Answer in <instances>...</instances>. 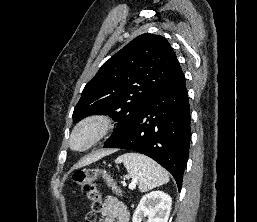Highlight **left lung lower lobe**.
<instances>
[{"mask_svg": "<svg viewBox=\"0 0 257 222\" xmlns=\"http://www.w3.org/2000/svg\"><path fill=\"white\" fill-rule=\"evenodd\" d=\"M190 121L185 76L179 68L104 148L128 149L149 156L172 174L181 190L190 145Z\"/></svg>", "mask_w": 257, "mask_h": 222, "instance_id": "obj_1", "label": "left lung lower lobe"}]
</instances>
